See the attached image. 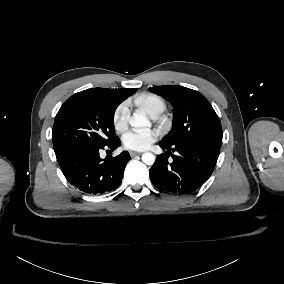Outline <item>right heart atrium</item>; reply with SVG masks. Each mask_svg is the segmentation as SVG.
<instances>
[{"label": "right heart atrium", "instance_id": "right-heart-atrium-1", "mask_svg": "<svg viewBox=\"0 0 284 284\" xmlns=\"http://www.w3.org/2000/svg\"><path fill=\"white\" fill-rule=\"evenodd\" d=\"M128 102L123 101L116 108L113 115V124L116 129H122L127 122Z\"/></svg>", "mask_w": 284, "mask_h": 284}]
</instances>
